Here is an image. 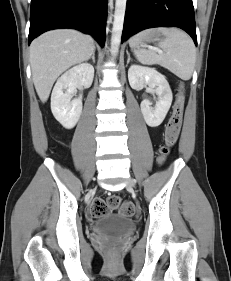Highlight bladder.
Instances as JSON below:
<instances>
[{
    "label": "bladder",
    "instance_id": "1",
    "mask_svg": "<svg viewBox=\"0 0 231 281\" xmlns=\"http://www.w3.org/2000/svg\"><path fill=\"white\" fill-rule=\"evenodd\" d=\"M92 230L99 234H129L134 231L136 224L128 216L108 213L94 220Z\"/></svg>",
    "mask_w": 231,
    "mask_h": 281
}]
</instances>
